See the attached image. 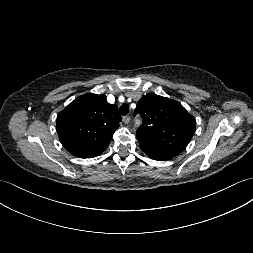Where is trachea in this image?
I'll list each match as a JSON object with an SVG mask.
<instances>
[{
    "mask_svg": "<svg viewBox=\"0 0 253 253\" xmlns=\"http://www.w3.org/2000/svg\"><path fill=\"white\" fill-rule=\"evenodd\" d=\"M120 113L123 115V116H125V115H127L128 114V112H129V105L128 104H122L121 106H120Z\"/></svg>",
    "mask_w": 253,
    "mask_h": 253,
    "instance_id": "obj_1",
    "label": "trachea"
}]
</instances>
